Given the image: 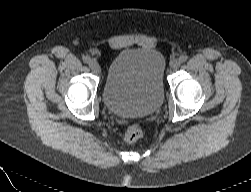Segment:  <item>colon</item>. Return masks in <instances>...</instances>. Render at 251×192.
<instances>
[{"mask_svg":"<svg viewBox=\"0 0 251 192\" xmlns=\"http://www.w3.org/2000/svg\"><path fill=\"white\" fill-rule=\"evenodd\" d=\"M143 136V130L138 124H132L124 131V140L128 143H133Z\"/></svg>","mask_w":251,"mask_h":192,"instance_id":"obj_1","label":"colon"}]
</instances>
